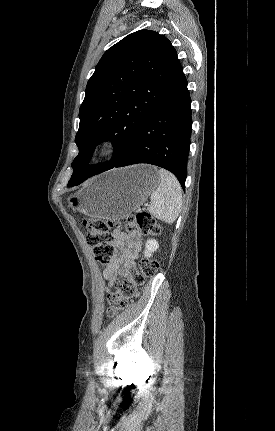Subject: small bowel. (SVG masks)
I'll use <instances>...</instances> for the list:
<instances>
[{
    "label": "small bowel",
    "mask_w": 275,
    "mask_h": 431,
    "mask_svg": "<svg viewBox=\"0 0 275 431\" xmlns=\"http://www.w3.org/2000/svg\"><path fill=\"white\" fill-rule=\"evenodd\" d=\"M141 236L137 231L126 232L117 229L112 234L114 257L103 270V277L111 287L118 276H125L135 266V259L141 249Z\"/></svg>",
    "instance_id": "obj_1"
}]
</instances>
